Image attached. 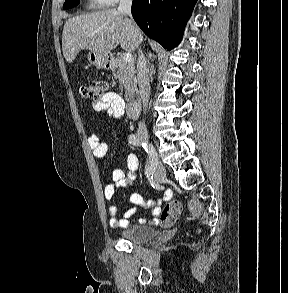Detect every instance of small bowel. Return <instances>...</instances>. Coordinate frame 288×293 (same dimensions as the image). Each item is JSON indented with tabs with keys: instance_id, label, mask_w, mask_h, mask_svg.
Returning a JSON list of instances; mask_svg holds the SVG:
<instances>
[{
	"instance_id": "obj_1",
	"label": "small bowel",
	"mask_w": 288,
	"mask_h": 293,
	"mask_svg": "<svg viewBox=\"0 0 288 293\" xmlns=\"http://www.w3.org/2000/svg\"><path fill=\"white\" fill-rule=\"evenodd\" d=\"M93 108L97 112H105L108 117L119 118L126 112V104L124 99L118 95L116 92L109 91L106 92L103 98L99 101L93 103ZM128 115L130 117H134L128 110ZM88 144L90 149L92 150L93 155L97 159L104 158L110 149V145L108 142L102 140L99 134L92 133L88 137ZM126 166L127 171L124 172L120 169H115L112 172L111 181L106 183L104 187V195L107 200H111L115 194V192L125 187L129 182L133 181L137 176V171L139 168V160L135 154H129L126 158ZM165 200L169 199V195L165 194ZM130 201L137 206H147L153 207L152 209V221L154 223L158 222V215L161 211V202L148 201L145 203L142 196L139 194H132L130 197ZM117 206L115 204H111L108 207V213L110 215L109 224L111 227H123L126 228L130 225V218L136 213V208L132 207L127 210L121 218H117ZM138 222L144 223L145 220L142 218L138 219Z\"/></svg>"
}]
</instances>
